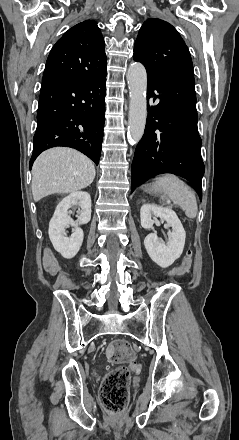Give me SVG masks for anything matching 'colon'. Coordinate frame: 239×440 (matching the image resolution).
Returning a JSON list of instances; mask_svg holds the SVG:
<instances>
[{
  "label": "colon",
  "instance_id": "1",
  "mask_svg": "<svg viewBox=\"0 0 239 440\" xmlns=\"http://www.w3.org/2000/svg\"><path fill=\"white\" fill-rule=\"evenodd\" d=\"M192 264V252H188L180 266L170 271V276H179L186 273ZM107 354L111 362L118 364V367L110 370L103 378L100 397L106 411L112 414L121 413L126 407L129 399V380L131 370L137 369L138 364L134 362L135 352L129 342L117 339L110 343ZM130 363L131 367H125Z\"/></svg>",
  "mask_w": 239,
  "mask_h": 440
}]
</instances>
